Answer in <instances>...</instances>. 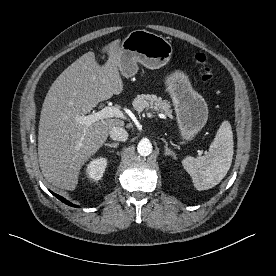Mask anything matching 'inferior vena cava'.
<instances>
[{"label": "inferior vena cava", "mask_w": 276, "mask_h": 276, "mask_svg": "<svg viewBox=\"0 0 276 276\" xmlns=\"http://www.w3.org/2000/svg\"><path fill=\"white\" fill-rule=\"evenodd\" d=\"M110 138L116 141L124 142L128 139V133L127 131L120 126H114L109 131Z\"/></svg>", "instance_id": "1"}]
</instances>
